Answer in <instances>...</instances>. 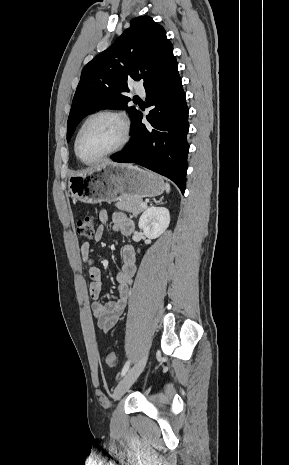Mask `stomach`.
Wrapping results in <instances>:
<instances>
[{
  "instance_id": "0dacf381",
  "label": "stomach",
  "mask_w": 289,
  "mask_h": 465,
  "mask_svg": "<svg viewBox=\"0 0 289 465\" xmlns=\"http://www.w3.org/2000/svg\"><path fill=\"white\" fill-rule=\"evenodd\" d=\"M68 189L75 200L97 204L154 197L162 194L165 184L159 175L138 166L107 164L70 177Z\"/></svg>"
}]
</instances>
